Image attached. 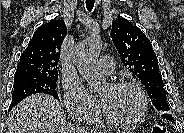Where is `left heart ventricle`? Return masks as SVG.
I'll return each mask as SVG.
<instances>
[{
	"label": "left heart ventricle",
	"instance_id": "b2bd125f",
	"mask_svg": "<svg viewBox=\"0 0 184 133\" xmlns=\"http://www.w3.org/2000/svg\"><path fill=\"white\" fill-rule=\"evenodd\" d=\"M102 109L116 119H127L135 116L141 107L138 93L130 87L113 88L106 84L98 92Z\"/></svg>",
	"mask_w": 184,
	"mask_h": 133
}]
</instances>
